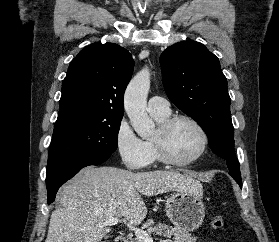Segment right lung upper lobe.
<instances>
[{"label":"right lung upper lobe","instance_id":"obj_1","mask_svg":"<svg viewBox=\"0 0 279 242\" xmlns=\"http://www.w3.org/2000/svg\"><path fill=\"white\" fill-rule=\"evenodd\" d=\"M133 68L132 55L117 44L85 47L71 61L63 80L59 114L86 110L123 116L124 91Z\"/></svg>","mask_w":279,"mask_h":242}]
</instances>
